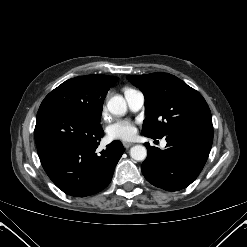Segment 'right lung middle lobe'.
<instances>
[{
	"instance_id": "dd1d6c3e",
	"label": "right lung middle lobe",
	"mask_w": 247,
	"mask_h": 247,
	"mask_svg": "<svg viewBox=\"0 0 247 247\" xmlns=\"http://www.w3.org/2000/svg\"><path fill=\"white\" fill-rule=\"evenodd\" d=\"M106 93L93 75L75 77L51 91L40 107L54 105L70 109L99 124Z\"/></svg>"
}]
</instances>
